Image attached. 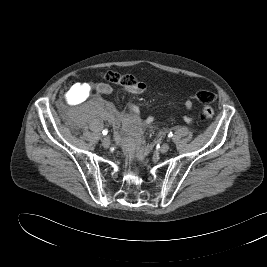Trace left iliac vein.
<instances>
[{
  "mask_svg": "<svg viewBox=\"0 0 267 267\" xmlns=\"http://www.w3.org/2000/svg\"><path fill=\"white\" fill-rule=\"evenodd\" d=\"M170 146L168 143H163L160 147V152L161 153H166L169 150Z\"/></svg>",
  "mask_w": 267,
  "mask_h": 267,
  "instance_id": "obj_1",
  "label": "left iliac vein"
}]
</instances>
